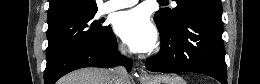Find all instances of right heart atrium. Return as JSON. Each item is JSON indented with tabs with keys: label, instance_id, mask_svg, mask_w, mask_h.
Wrapping results in <instances>:
<instances>
[{
	"label": "right heart atrium",
	"instance_id": "obj_1",
	"mask_svg": "<svg viewBox=\"0 0 260 84\" xmlns=\"http://www.w3.org/2000/svg\"><path fill=\"white\" fill-rule=\"evenodd\" d=\"M118 51L122 54L125 55L126 54V50L124 48L123 45H118Z\"/></svg>",
	"mask_w": 260,
	"mask_h": 84
}]
</instances>
